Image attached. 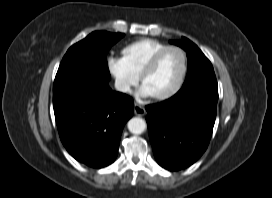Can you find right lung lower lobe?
Segmentation results:
<instances>
[{
    "mask_svg": "<svg viewBox=\"0 0 272 198\" xmlns=\"http://www.w3.org/2000/svg\"><path fill=\"white\" fill-rule=\"evenodd\" d=\"M60 139L78 161L102 168L117 157L125 123L132 117V99L112 91L108 82L77 79L53 90Z\"/></svg>",
    "mask_w": 272,
    "mask_h": 198,
    "instance_id": "98d812e1",
    "label": "right lung lower lobe"
}]
</instances>
